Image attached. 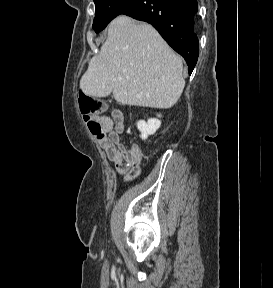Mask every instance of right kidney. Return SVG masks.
<instances>
[{
    "mask_svg": "<svg viewBox=\"0 0 273 288\" xmlns=\"http://www.w3.org/2000/svg\"><path fill=\"white\" fill-rule=\"evenodd\" d=\"M160 117V115H158ZM161 126V121L157 118H150L147 122L140 120L137 122V128L141 132V138L146 140L149 135H153Z\"/></svg>",
    "mask_w": 273,
    "mask_h": 288,
    "instance_id": "obj_1",
    "label": "right kidney"
}]
</instances>
